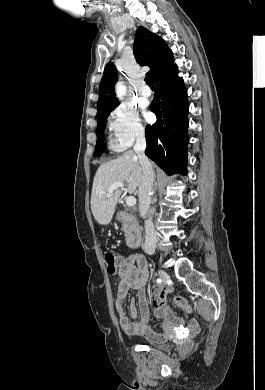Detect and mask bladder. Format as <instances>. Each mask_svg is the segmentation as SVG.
Here are the masks:
<instances>
[{
  "label": "bladder",
  "instance_id": "1",
  "mask_svg": "<svg viewBox=\"0 0 265 390\" xmlns=\"http://www.w3.org/2000/svg\"><path fill=\"white\" fill-rule=\"evenodd\" d=\"M145 343L149 346L161 349V350H169L171 345L168 342H163L159 340H152V339H147L145 340Z\"/></svg>",
  "mask_w": 265,
  "mask_h": 390
}]
</instances>
